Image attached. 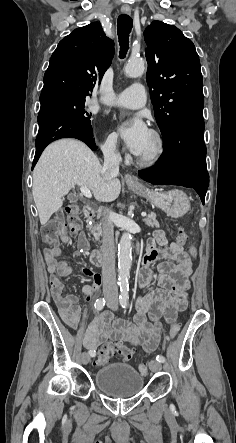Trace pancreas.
I'll list each match as a JSON object with an SVG mask.
<instances>
[{
  "label": "pancreas",
  "mask_w": 236,
  "mask_h": 443,
  "mask_svg": "<svg viewBox=\"0 0 236 443\" xmlns=\"http://www.w3.org/2000/svg\"><path fill=\"white\" fill-rule=\"evenodd\" d=\"M143 221L149 227H156V228H158L160 226L159 222L156 220L155 213L149 214L148 217L145 218ZM93 235H94V237L97 240H99V238L101 236V224H98V225L93 227Z\"/></svg>",
  "instance_id": "pancreas-1"
}]
</instances>
